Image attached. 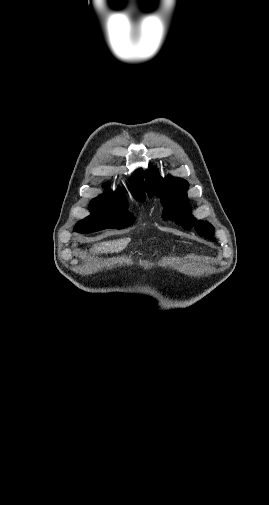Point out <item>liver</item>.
<instances>
[{
  "instance_id": "6515ba94",
  "label": "liver",
  "mask_w": 269,
  "mask_h": 505,
  "mask_svg": "<svg viewBox=\"0 0 269 505\" xmlns=\"http://www.w3.org/2000/svg\"><path fill=\"white\" fill-rule=\"evenodd\" d=\"M131 241L130 237L127 238H121L109 242H104L100 243L99 245L95 246V251L96 252H101V253H114V252H119L123 250L127 244Z\"/></svg>"
}]
</instances>
